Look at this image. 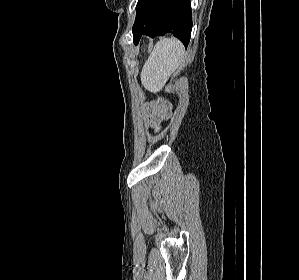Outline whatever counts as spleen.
<instances>
[{
	"label": "spleen",
	"mask_w": 299,
	"mask_h": 280,
	"mask_svg": "<svg viewBox=\"0 0 299 280\" xmlns=\"http://www.w3.org/2000/svg\"><path fill=\"white\" fill-rule=\"evenodd\" d=\"M185 49L175 38L157 42L141 72V82L150 92L162 90L167 80L184 61Z\"/></svg>",
	"instance_id": "3e777b00"
}]
</instances>
